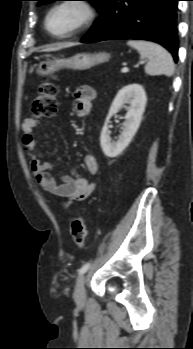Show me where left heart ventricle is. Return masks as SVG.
Masks as SVG:
<instances>
[{"instance_id":"1","label":"left heart ventricle","mask_w":193,"mask_h":349,"mask_svg":"<svg viewBox=\"0 0 193 349\" xmlns=\"http://www.w3.org/2000/svg\"><path fill=\"white\" fill-rule=\"evenodd\" d=\"M84 16V10L77 5L62 6L52 12L48 26L53 33L62 34L80 23Z\"/></svg>"}]
</instances>
